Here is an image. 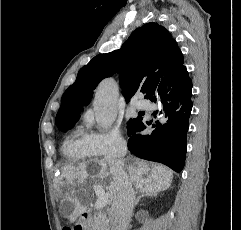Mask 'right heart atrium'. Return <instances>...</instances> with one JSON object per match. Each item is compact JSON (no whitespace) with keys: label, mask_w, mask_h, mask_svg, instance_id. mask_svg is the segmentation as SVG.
Masks as SVG:
<instances>
[{"label":"right heart atrium","mask_w":241,"mask_h":230,"mask_svg":"<svg viewBox=\"0 0 241 230\" xmlns=\"http://www.w3.org/2000/svg\"><path fill=\"white\" fill-rule=\"evenodd\" d=\"M86 138L91 151L98 156H119L127 147V142L118 129L92 131Z\"/></svg>","instance_id":"d8ad5b80"}]
</instances>
